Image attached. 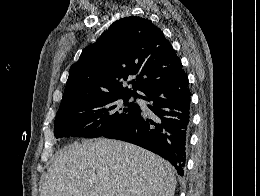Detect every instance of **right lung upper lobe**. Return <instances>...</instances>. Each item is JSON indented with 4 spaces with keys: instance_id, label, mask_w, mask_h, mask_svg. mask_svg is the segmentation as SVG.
I'll list each match as a JSON object with an SVG mask.
<instances>
[{
    "instance_id": "cb5924a9",
    "label": "right lung upper lobe",
    "mask_w": 260,
    "mask_h": 196,
    "mask_svg": "<svg viewBox=\"0 0 260 196\" xmlns=\"http://www.w3.org/2000/svg\"><path fill=\"white\" fill-rule=\"evenodd\" d=\"M181 71L180 59L158 27L145 18L124 17L71 66L59 110L97 94L138 96L136 90L171 80ZM128 79L131 89L123 87Z\"/></svg>"
}]
</instances>
